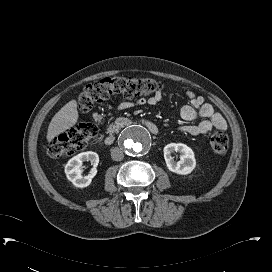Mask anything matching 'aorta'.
<instances>
[{
  "instance_id": "1",
  "label": "aorta",
  "mask_w": 272,
  "mask_h": 272,
  "mask_svg": "<svg viewBox=\"0 0 272 272\" xmlns=\"http://www.w3.org/2000/svg\"><path fill=\"white\" fill-rule=\"evenodd\" d=\"M120 144L129 155L140 156L149 151L151 147V137L145 128L139 125H133L122 133Z\"/></svg>"
}]
</instances>
